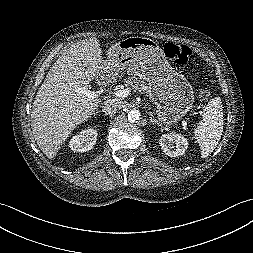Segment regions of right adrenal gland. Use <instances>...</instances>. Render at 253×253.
I'll return each mask as SVG.
<instances>
[{
	"label": "right adrenal gland",
	"instance_id": "2a0ac1e0",
	"mask_svg": "<svg viewBox=\"0 0 253 253\" xmlns=\"http://www.w3.org/2000/svg\"><path fill=\"white\" fill-rule=\"evenodd\" d=\"M100 112H101L100 110L96 111V112L94 113V116L97 115V114L100 113Z\"/></svg>",
	"mask_w": 253,
	"mask_h": 253
}]
</instances>
